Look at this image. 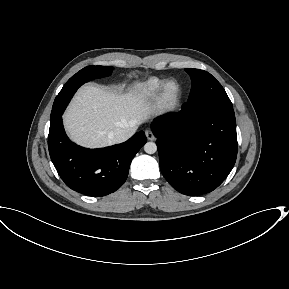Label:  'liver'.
<instances>
[{"mask_svg":"<svg viewBox=\"0 0 289 289\" xmlns=\"http://www.w3.org/2000/svg\"><path fill=\"white\" fill-rule=\"evenodd\" d=\"M151 114L152 109L138 88L116 94L99 86L85 85L76 93L63 120L74 142L97 148L113 144L108 135L117 128L133 135Z\"/></svg>","mask_w":289,"mask_h":289,"instance_id":"liver-1","label":"liver"}]
</instances>
